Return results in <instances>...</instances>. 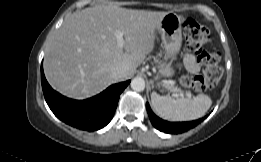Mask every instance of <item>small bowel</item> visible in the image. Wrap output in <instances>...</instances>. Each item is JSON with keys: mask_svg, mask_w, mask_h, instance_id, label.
Instances as JSON below:
<instances>
[{"mask_svg": "<svg viewBox=\"0 0 261 162\" xmlns=\"http://www.w3.org/2000/svg\"><path fill=\"white\" fill-rule=\"evenodd\" d=\"M182 65L191 73H197L200 70L199 64L197 63L195 57L190 53H185L182 55Z\"/></svg>", "mask_w": 261, "mask_h": 162, "instance_id": "1", "label": "small bowel"}]
</instances>
